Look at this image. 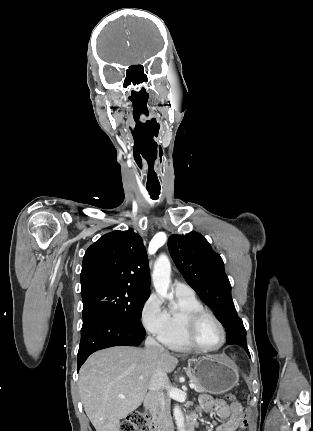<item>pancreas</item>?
Returning <instances> with one entry per match:
<instances>
[{
  "instance_id": "obj_1",
  "label": "pancreas",
  "mask_w": 313,
  "mask_h": 431,
  "mask_svg": "<svg viewBox=\"0 0 313 431\" xmlns=\"http://www.w3.org/2000/svg\"><path fill=\"white\" fill-rule=\"evenodd\" d=\"M187 375L189 376V378H190V382H192V383H194L195 384V391L196 392H199V393H201V392H204V389L202 388V386L198 383V381L196 380V378L194 377V376H192V374L190 373V371L188 370V372H187Z\"/></svg>"
}]
</instances>
